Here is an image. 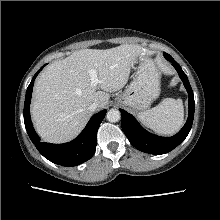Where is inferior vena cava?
I'll return each instance as SVG.
<instances>
[{"mask_svg": "<svg viewBox=\"0 0 220 220\" xmlns=\"http://www.w3.org/2000/svg\"><path fill=\"white\" fill-rule=\"evenodd\" d=\"M98 108V103L93 102L89 105L88 110L94 112Z\"/></svg>", "mask_w": 220, "mask_h": 220, "instance_id": "obj_1", "label": "inferior vena cava"}]
</instances>
